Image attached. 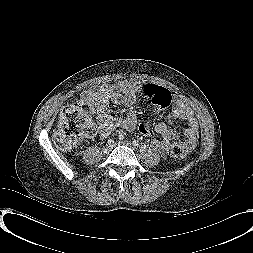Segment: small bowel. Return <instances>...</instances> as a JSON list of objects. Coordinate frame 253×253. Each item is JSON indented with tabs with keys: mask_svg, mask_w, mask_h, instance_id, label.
<instances>
[{
	"mask_svg": "<svg viewBox=\"0 0 253 253\" xmlns=\"http://www.w3.org/2000/svg\"><path fill=\"white\" fill-rule=\"evenodd\" d=\"M153 89V90H152ZM141 93L148 97V103L156 112H165L173 103L170 113L164 121L154 126V131L160 135L159 140L152 142L155 152L165 157L174 144H180L186 152L192 151L199 137L198 122L187 102L180 96H174L166 88L154 83L140 80H122L115 86H100L84 90L76 99L75 107L87 115L88 123L92 129L96 126L101 137H107L116 128L135 130L147 136L151 131L149 121L137 122V114L129 110L123 117L110 113V107L116 103H123L131 107L135 101V94ZM96 119V123H95ZM186 121L184 137L176 134L171 127L177 121Z\"/></svg>",
	"mask_w": 253,
	"mask_h": 253,
	"instance_id": "c3829d8e",
	"label": "small bowel"
}]
</instances>
